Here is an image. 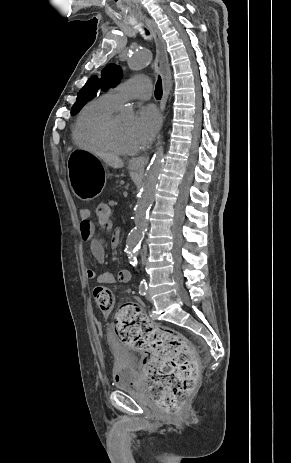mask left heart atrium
Masks as SVG:
<instances>
[{"label":"left heart atrium","mask_w":291,"mask_h":463,"mask_svg":"<svg viewBox=\"0 0 291 463\" xmlns=\"http://www.w3.org/2000/svg\"><path fill=\"white\" fill-rule=\"evenodd\" d=\"M160 124V115L153 106L143 107L137 112L131 131L138 147L146 146L153 139Z\"/></svg>","instance_id":"left-heart-atrium-1"}]
</instances>
